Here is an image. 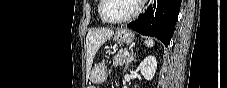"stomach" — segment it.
Masks as SVG:
<instances>
[{"mask_svg":"<svg viewBox=\"0 0 227 88\" xmlns=\"http://www.w3.org/2000/svg\"><path fill=\"white\" fill-rule=\"evenodd\" d=\"M135 35L132 30L123 28L118 30L115 35L114 39L119 43L130 44L134 41ZM108 76V67L104 63H97L92 68L90 74V80L94 84H101L103 83Z\"/></svg>","mask_w":227,"mask_h":88,"instance_id":"0dacf381","label":"stomach"}]
</instances>
